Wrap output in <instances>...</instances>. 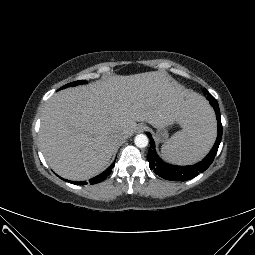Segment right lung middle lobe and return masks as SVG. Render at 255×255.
Segmentation results:
<instances>
[{"mask_svg":"<svg viewBox=\"0 0 255 255\" xmlns=\"http://www.w3.org/2000/svg\"><path fill=\"white\" fill-rule=\"evenodd\" d=\"M86 81L85 80H81V81H75V82H72V83H69V84H66L64 85L63 87L60 88L61 89H64V88H67V87H70V86H76L78 84H85Z\"/></svg>","mask_w":255,"mask_h":255,"instance_id":"right-lung-middle-lobe-1","label":"right lung middle lobe"}]
</instances>
